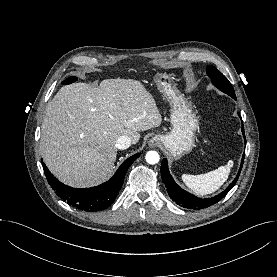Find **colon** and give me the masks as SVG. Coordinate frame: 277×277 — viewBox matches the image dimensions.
Instances as JSON below:
<instances>
[{
    "mask_svg": "<svg viewBox=\"0 0 277 277\" xmlns=\"http://www.w3.org/2000/svg\"><path fill=\"white\" fill-rule=\"evenodd\" d=\"M76 81L74 77H68L63 81L64 85H71Z\"/></svg>",
    "mask_w": 277,
    "mask_h": 277,
    "instance_id": "5ec220e1",
    "label": "colon"
}]
</instances>
